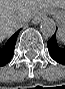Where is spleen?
<instances>
[{
    "instance_id": "1",
    "label": "spleen",
    "mask_w": 65,
    "mask_h": 89,
    "mask_svg": "<svg viewBox=\"0 0 65 89\" xmlns=\"http://www.w3.org/2000/svg\"><path fill=\"white\" fill-rule=\"evenodd\" d=\"M60 40L61 41H65V36H64V33L63 32L60 33Z\"/></svg>"
}]
</instances>
